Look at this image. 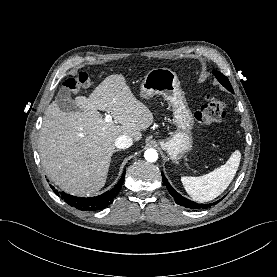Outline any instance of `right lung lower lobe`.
Masks as SVG:
<instances>
[{
  "mask_svg": "<svg viewBox=\"0 0 277 277\" xmlns=\"http://www.w3.org/2000/svg\"><path fill=\"white\" fill-rule=\"evenodd\" d=\"M125 172H123V175L119 182L116 184V186L111 189L110 191H107L103 193L102 195H99L97 197H89V198H81V197H75L69 194H66L64 192L59 193L58 191H55V193L60 196L67 204L70 206H73L79 210L83 211H95L100 210L108 205H110L113 201V199L117 196L118 192L120 191L124 177ZM51 188H54L51 186Z\"/></svg>",
  "mask_w": 277,
  "mask_h": 277,
  "instance_id": "1",
  "label": "right lung lower lobe"
}]
</instances>
